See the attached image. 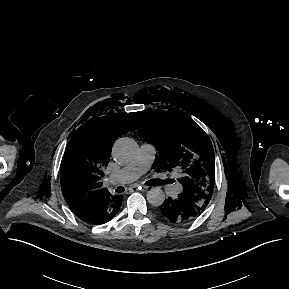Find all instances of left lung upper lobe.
Listing matches in <instances>:
<instances>
[{
  "label": "left lung upper lobe",
  "instance_id": "obj_1",
  "mask_svg": "<svg viewBox=\"0 0 289 289\" xmlns=\"http://www.w3.org/2000/svg\"><path fill=\"white\" fill-rule=\"evenodd\" d=\"M140 117V136L157 147L160 167L176 168L183 193L206 208L213 193L215 158L205 132L187 114L175 109L149 110Z\"/></svg>",
  "mask_w": 289,
  "mask_h": 289
}]
</instances>
